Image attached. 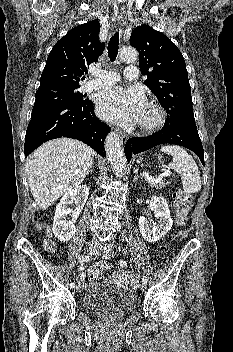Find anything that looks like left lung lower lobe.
Wrapping results in <instances>:
<instances>
[{"label":"left lung lower lobe","instance_id":"0a47b994","mask_svg":"<svg viewBox=\"0 0 233 352\" xmlns=\"http://www.w3.org/2000/svg\"><path fill=\"white\" fill-rule=\"evenodd\" d=\"M176 144L192 150L204 165V150L195 124H169L153 135L129 138L124 152L129 162L133 154L146 151L160 144Z\"/></svg>","mask_w":233,"mask_h":352}]
</instances>
